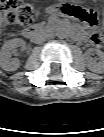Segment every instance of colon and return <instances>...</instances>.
Segmentation results:
<instances>
[{
	"instance_id": "colon-1",
	"label": "colon",
	"mask_w": 104,
	"mask_h": 137,
	"mask_svg": "<svg viewBox=\"0 0 104 137\" xmlns=\"http://www.w3.org/2000/svg\"><path fill=\"white\" fill-rule=\"evenodd\" d=\"M62 9L65 13L74 15L92 25L99 23V11L94 6L88 8L64 6ZM1 12L6 24L14 26H27L35 16L34 6L26 0H1ZM102 39L100 31L93 33L92 41L95 45H100Z\"/></svg>"
}]
</instances>
